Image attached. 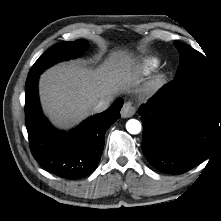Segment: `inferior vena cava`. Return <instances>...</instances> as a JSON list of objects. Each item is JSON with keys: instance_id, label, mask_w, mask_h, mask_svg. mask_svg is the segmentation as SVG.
<instances>
[{"instance_id": "1", "label": "inferior vena cava", "mask_w": 221, "mask_h": 221, "mask_svg": "<svg viewBox=\"0 0 221 221\" xmlns=\"http://www.w3.org/2000/svg\"><path fill=\"white\" fill-rule=\"evenodd\" d=\"M111 101H112V98L99 100L98 103L93 107V111L95 113H100V112L105 111L106 109L109 108Z\"/></svg>"}]
</instances>
